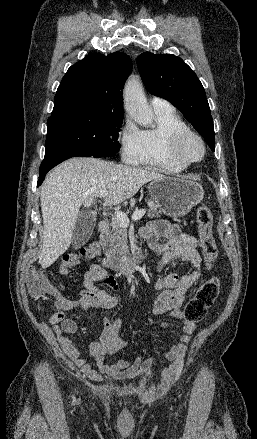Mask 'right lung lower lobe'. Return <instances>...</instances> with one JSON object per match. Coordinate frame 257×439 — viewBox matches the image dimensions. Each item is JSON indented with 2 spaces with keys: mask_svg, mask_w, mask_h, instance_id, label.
<instances>
[{
  "mask_svg": "<svg viewBox=\"0 0 257 439\" xmlns=\"http://www.w3.org/2000/svg\"><path fill=\"white\" fill-rule=\"evenodd\" d=\"M76 156H93V157H103L101 155L97 154H91V153H79V154H64L53 158L44 159L39 171V180H38V186L43 182L45 175L47 172L52 169L54 166L58 165L59 163L63 162L66 159H69L71 157Z\"/></svg>",
  "mask_w": 257,
  "mask_h": 439,
  "instance_id": "1",
  "label": "right lung lower lobe"
}]
</instances>
